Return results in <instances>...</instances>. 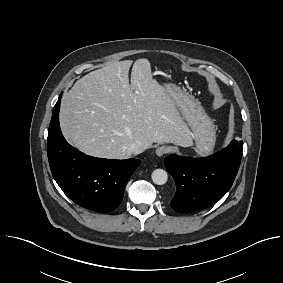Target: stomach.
<instances>
[{
  "mask_svg": "<svg viewBox=\"0 0 283 283\" xmlns=\"http://www.w3.org/2000/svg\"><path fill=\"white\" fill-rule=\"evenodd\" d=\"M166 89L191 130L197 154L206 156L212 153L216 141V126L213 120L206 114L200 102L188 92L170 84Z\"/></svg>",
  "mask_w": 283,
  "mask_h": 283,
  "instance_id": "0dacf381",
  "label": "stomach"
}]
</instances>
